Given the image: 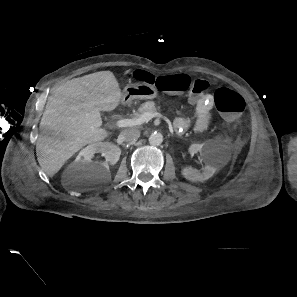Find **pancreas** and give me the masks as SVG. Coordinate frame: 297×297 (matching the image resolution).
<instances>
[{
  "label": "pancreas",
  "instance_id": "1",
  "mask_svg": "<svg viewBox=\"0 0 297 297\" xmlns=\"http://www.w3.org/2000/svg\"><path fill=\"white\" fill-rule=\"evenodd\" d=\"M157 111V107L155 102L153 101H148L143 103L139 108L138 111L132 114L133 118H137L139 117L141 114L145 113V112H156Z\"/></svg>",
  "mask_w": 297,
  "mask_h": 297
}]
</instances>
